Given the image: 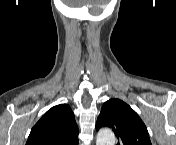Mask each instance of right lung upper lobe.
Wrapping results in <instances>:
<instances>
[{"mask_svg":"<svg viewBox=\"0 0 176 145\" xmlns=\"http://www.w3.org/2000/svg\"><path fill=\"white\" fill-rule=\"evenodd\" d=\"M78 127L67 104L49 109L32 128L26 145H77Z\"/></svg>","mask_w":176,"mask_h":145,"instance_id":"obj_1","label":"right lung upper lobe"}]
</instances>
